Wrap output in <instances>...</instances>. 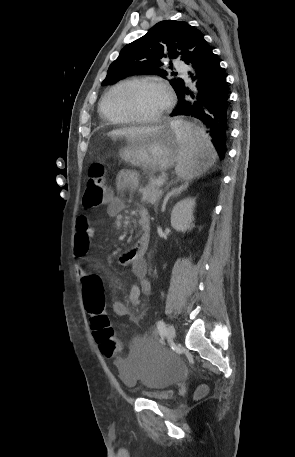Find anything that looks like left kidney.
I'll return each instance as SVG.
<instances>
[{
	"mask_svg": "<svg viewBox=\"0 0 295 457\" xmlns=\"http://www.w3.org/2000/svg\"><path fill=\"white\" fill-rule=\"evenodd\" d=\"M195 207V200L186 198L178 202L171 213V226L177 230L185 233L194 227L193 211Z\"/></svg>",
	"mask_w": 295,
	"mask_h": 457,
	"instance_id": "1",
	"label": "left kidney"
}]
</instances>
